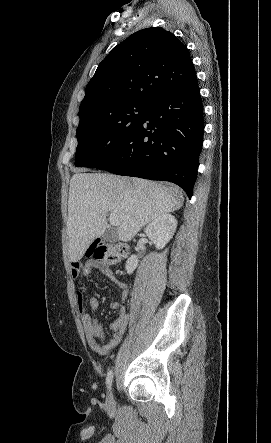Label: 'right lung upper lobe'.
<instances>
[{
    "instance_id": "1",
    "label": "right lung upper lobe",
    "mask_w": 271,
    "mask_h": 443,
    "mask_svg": "<svg viewBox=\"0 0 271 443\" xmlns=\"http://www.w3.org/2000/svg\"><path fill=\"white\" fill-rule=\"evenodd\" d=\"M197 80L187 47L160 27L140 30L111 50L86 87L80 120L126 102L156 96Z\"/></svg>"
}]
</instances>
